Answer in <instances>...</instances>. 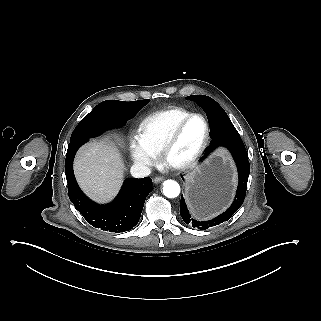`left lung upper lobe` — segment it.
Masks as SVG:
<instances>
[{"instance_id": "left-lung-upper-lobe-1", "label": "left lung upper lobe", "mask_w": 321, "mask_h": 321, "mask_svg": "<svg viewBox=\"0 0 321 321\" xmlns=\"http://www.w3.org/2000/svg\"><path fill=\"white\" fill-rule=\"evenodd\" d=\"M187 99H191V100L195 101L200 107L203 108V110L206 113L208 111H212V110H217V111L221 112L225 118V121L221 125L222 128L234 127V125L230 121L229 117L227 116V114L225 113L223 108L212 98H210L208 96H204V95H191V96H188Z\"/></svg>"}]
</instances>
